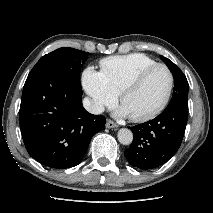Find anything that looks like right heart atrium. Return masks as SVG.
I'll return each mask as SVG.
<instances>
[{
	"label": "right heart atrium",
	"mask_w": 213,
	"mask_h": 213,
	"mask_svg": "<svg viewBox=\"0 0 213 213\" xmlns=\"http://www.w3.org/2000/svg\"><path fill=\"white\" fill-rule=\"evenodd\" d=\"M82 84L90 97V105L93 111L100 112L116 102V94L111 91L102 73L93 67L84 70Z\"/></svg>",
	"instance_id": "1"
}]
</instances>
